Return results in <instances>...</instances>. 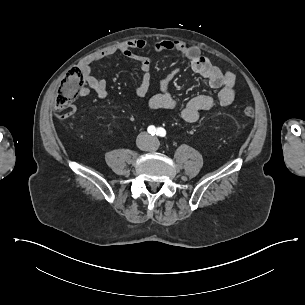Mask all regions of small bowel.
Here are the masks:
<instances>
[{
  "label": "small bowel",
  "mask_w": 305,
  "mask_h": 305,
  "mask_svg": "<svg viewBox=\"0 0 305 305\" xmlns=\"http://www.w3.org/2000/svg\"><path fill=\"white\" fill-rule=\"evenodd\" d=\"M147 47V41L143 38L131 39L104 49L97 50L85 57L79 70L82 73L84 86L79 89V96L86 97L91 90L95 91L100 99L108 97V85L103 79H97L92 73V64L102 59L116 54L130 58L139 64L141 71V80L135 93L139 97L147 95L151 85V61L147 56L139 55L136 50H142ZM154 52L175 51L189 60L191 68L201 78L215 89H220L216 98L199 95L191 98L181 109L180 117L187 123H195L204 111L212 110L216 107L226 108L234 100L237 88V79L231 72H224L215 66L209 59L202 55L200 49L196 46H189L179 40H162L153 44ZM180 74L179 68H174L165 74L158 83V91L148 100V107L151 110L167 109L177 110L179 104L172 95L170 86ZM68 116H72L69 113Z\"/></svg>",
  "instance_id": "obj_1"
}]
</instances>
